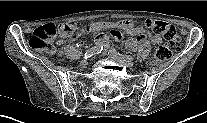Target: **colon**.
Returning a JSON list of instances; mask_svg holds the SVG:
<instances>
[{"label":"colon","mask_w":207,"mask_h":123,"mask_svg":"<svg viewBox=\"0 0 207 123\" xmlns=\"http://www.w3.org/2000/svg\"><path fill=\"white\" fill-rule=\"evenodd\" d=\"M146 25L156 34L165 38L164 46L157 48L150 59V65L158 66L167 60L173 52L180 49L181 37L177 34L175 28L162 20H147ZM78 30L75 23H64L60 26L46 24L37 28L29 39V45L37 50H44L49 53L54 52L52 40L58 35L64 37H73ZM118 36H121L118 34Z\"/></svg>","instance_id":"5ec220e1"}]
</instances>
